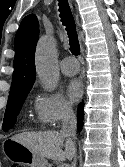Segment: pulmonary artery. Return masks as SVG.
<instances>
[{
	"mask_svg": "<svg viewBox=\"0 0 125 167\" xmlns=\"http://www.w3.org/2000/svg\"><path fill=\"white\" fill-rule=\"evenodd\" d=\"M60 70L65 75L73 76L80 70L79 62L74 57L67 56L60 63Z\"/></svg>",
	"mask_w": 125,
	"mask_h": 167,
	"instance_id": "e3ab8cb5",
	"label": "pulmonary artery"
}]
</instances>
